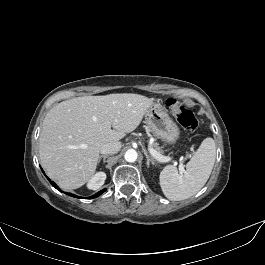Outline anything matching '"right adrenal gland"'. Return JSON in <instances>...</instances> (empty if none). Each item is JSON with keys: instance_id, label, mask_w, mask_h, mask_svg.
Instances as JSON below:
<instances>
[{"instance_id": "1", "label": "right adrenal gland", "mask_w": 265, "mask_h": 265, "mask_svg": "<svg viewBox=\"0 0 265 265\" xmlns=\"http://www.w3.org/2000/svg\"><path fill=\"white\" fill-rule=\"evenodd\" d=\"M107 157H108L107 155H101L99 157V161L98 162L100 163L101 159H103V164H104Z\"/></svg>"}]
</instances>
